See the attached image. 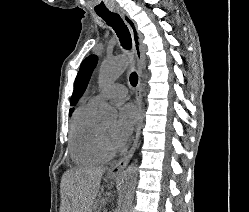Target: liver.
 Wrapping results in <instances>:
<instances>
[{
  "label": "liver",
  "instance_id": "obj_1",
  "mask_svg": "<svg viewBox=\"0 0 249 212\" xmlns=\"http://www.w3.org/2000/svg\"><path fill=\"white\" fill-rule=\"evenodd\" d=\"M105 170L103 166H97L65 172L63 184H66L67 212H92Z\"/></svg>",
  "mask_w": 249,
  "mask_h": 212
}]
</instances>
